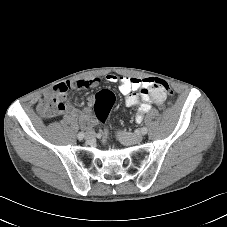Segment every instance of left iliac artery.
<instances>
[{
	"mask_svg": "<svg viewBox=\"0 0 227 227\" xmlns=\"http://www.w3.org/2000/svg\"><path fill=\"white\" fill-rule=\"evenodd\" d=\"M147 132H148V130H147L146 127L141 128V133H142L143 135L147 134Z\"/></svg>",
	"mask_w": 227,
	"mask_h": 227,
	"instance_id": "obj_1",
	"label": "left iliac artery"
}]
</instances>
